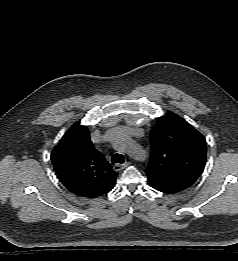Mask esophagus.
<instances>
[{
    "label": "esophagus",
    "instance_id": "obj_1",
    "mask_svg": "<svg viewBox=\"0 0 238 261\" xmlns=\"http://www.w3.org/2000/svg\"><path fill=\"white\" fill-rule=\"evenodd\" d=\"M129 164H130V162H128V161H126V162L123 163V164L117 163V164H115V165L113 166V170H114V171H120V170L126 168Z\"/></svg>",
    "mask_w": 238,
    "mask_h": 261
}]
</instances>
